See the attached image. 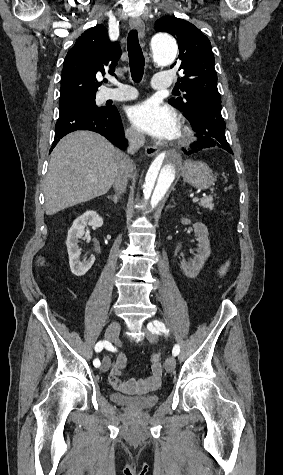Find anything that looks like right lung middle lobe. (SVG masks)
Masks as SVG:
<instances>
[{
    "label": "right lung middle lobe",
    "mask_w": 283,
    "mask_h": 475,
    "mask_svg": "<svg viewBox=\"0 0 283 475\" xmlns=\"http://www.w3.org/2000/svg\"><path fill=\"white\" fill-rule=\"evenodd\" d=\"M94 92H85L81 90L69 89L60 91L59 107H65L72 104H85L94 109L103 110L104 107H97L95 104Z\"/></svg>",
    "instance_id": "dd1d6c3e"
}]
</instances>
